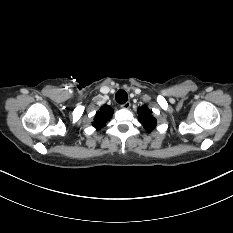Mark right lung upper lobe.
<instances>
[{
    "label": "right lung upper lobe",
    "mask_w": 233,
    "mask_h": 233,
    "mask_svg": "<svg viewBox=\"0 0 233 233\" xmlns=\"http://www.w3.org/2000/svg\"><path fill=\"white\" fill-rule=\"evenodd\" d=\"M113 115V110L110 106L104 105L100 108V110L96 113V117L93 122V126L100 130L103 128L107 122Z\"/></svg>",
    "instance_id": "cb5924a9"
}]
</instances>
